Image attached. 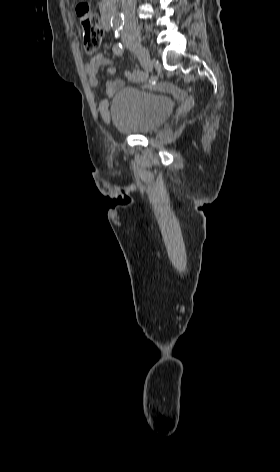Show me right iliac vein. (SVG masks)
Segmentation results:
<instances>
[{"label": "right iliac vein", "mask_w": 280, "mask_h": 472, "mask_svg": "<svg viewBox=\"0 0 280 472\" xmlns=\"http://www.w3.org/2000/svg\"><path fill=\"white\" fill-rule=\"evenodd\" d=\"M124 44L133 51L142 67L148 71L152 68V61L148 51L139 43V41L134 36H128L124 39Z\"/></svg>", "instance_id": "obj_1"}]
</instances>
